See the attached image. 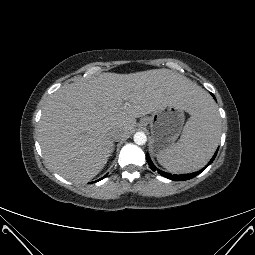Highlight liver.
I'll list each match as a JSON object with an SVG mask.
<instances>
[{
    "instance_id": "obj_1",
    "label": "liver",
    "mask_w": 255,
    "mask_h": 255,
    "mask_svg": "<svg viewBox=\"0 0 255 255\" xmlns=\"http://www.w3.org/2000/svg\"><path fill=\"white\" fill-rule=\"evenodd\" d=\"M203 96L208 95L199 86L169 69L103 73L65 85L42 111L39 142L44 159L62 177L87 182L106 165L114 148L113 131L127 138L136 118L167 104L192 114Z\"/></svg>"
}]
</instances>
